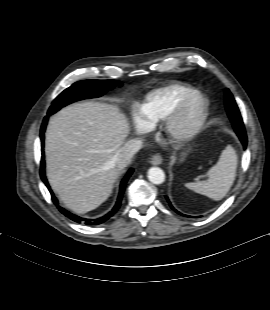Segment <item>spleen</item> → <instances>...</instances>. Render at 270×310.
<instances>
[{
  "label": "spleen",
  "mask_w": 270,
  "mask_h": 310,
  "mask_svg": "<svg viewBox=\"0 0 270 310\" xmlns=\"http://www.w3.org/2000/svg\"><path fill=\"white\" fill-rule=\"evenodd\" d=\"M238 158L232 146H227L218 162L207 172L208 179L186 183V187L215 201L223 199L229 192L236 176Z\"/></svg>",
  "instance_id": "spleen-1"
}]
</instances>
